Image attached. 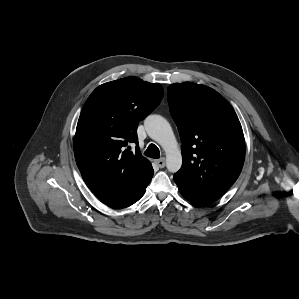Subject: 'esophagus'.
Returning a JSON list of instances; mask_svg holds the SVG:
<instances>
[{"mask_svg":"<svg viewBox=\"0 0 299 299\" xmlns=\"http://www.w3.org/2000/svg\"><path fill=\"white\" fill-rule=\"evenodd\" d=\"M155 163L158 165L159 168L165 167V159L164 158L156 160Z\"/></svg>","mask_w":299,"mask_h":299,"instance_id":"34e87169","label":"esophagus"}]
</instances>
